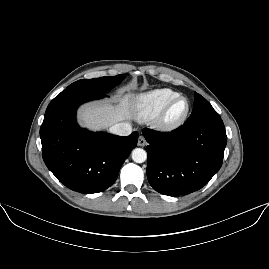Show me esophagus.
<instances>
[{
    "instance_id": "obj_1",
    "label": "esophagus",
    "mask_w": 269,
    "mask_h": 269,
    "mask_svg": "<svg viewBox=\"0 0 269 269\" xmlns=\"http://www.w3.org/2000/svg\"><path fill=\"white\" fill-rule=\"evenodd\" d=\"M146 144H147V142H146L145 138L143 136H139L137 145L140 147H144V146H146Z\"/></svg>"
}]
</instances>
